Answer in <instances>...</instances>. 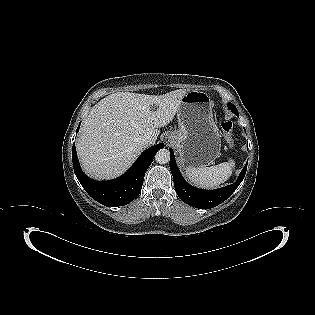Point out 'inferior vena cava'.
Listing matches in <instances>:
<instances>
[{"instance_id": "602c4592", "label": "inferior vena cava", "mask_w": 315, "mask_h": 315, "mask_svg": "<svg viewBox=\"0 0 315 315\" xmlns=\"http://www.w3.org/2000/svg\"><path fill=\"white\" fill-rule=\"evenodd\" d=\"M142 143L146 146L152 145L155 143V140L153 137H151L150 135H145L142 137L141 139Z\"/></svg>"}]
</instances>
